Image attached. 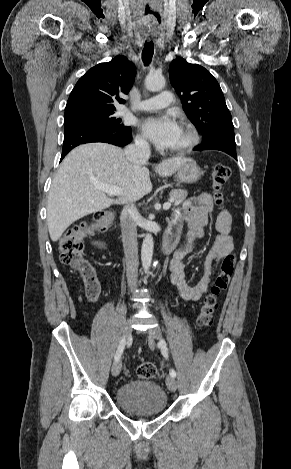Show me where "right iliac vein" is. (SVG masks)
I'll return each instance as SVG.
<instances>
[{"label":"right iliac vein","instance_id":"1","mask_svg":"<svg viewBox=\"0 0 291 469\" xmlns=\"http://www.w3.org/2000/svg\"><path fill=\"white\" fill-rule=\"evenodd\" d=\"M131 331H132L131 322L130 320H128L123 329V338L125 339V341L130 337ZM121 368H122V363H121V360L119 359L115 361L112 366V375L118 376L121 371Z\"/></svg>","mask_w":291,"mask_h":469}]
</instances>
